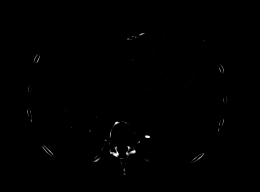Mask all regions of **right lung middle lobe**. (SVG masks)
<instances>
[{
  "mask_svg": "<svg viewBox=\"0 0 260 192\" xmlns=\"http://www.w3.org/2000/svg\"><path fill=\"white\" fill-rule=\"evenodd\" d=\"M89 40V46L84 48L82 43ZM123 43L121 40L114 38H105L97 36H67L53 43L42 56L34 84L41 74V67L44 72H50L54 69H87L94 73L101 74L99 67L105 57L118 44ZM60 53V54H58ZM49 55L54 56L48 60Z\"/></svg>",
  "mask_w": 260,
  "mask_h": 192,
  "instance_id": "obj_1",
  "label": "right lung middle lobe"
}]
</instances>
